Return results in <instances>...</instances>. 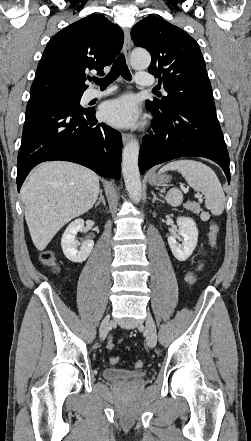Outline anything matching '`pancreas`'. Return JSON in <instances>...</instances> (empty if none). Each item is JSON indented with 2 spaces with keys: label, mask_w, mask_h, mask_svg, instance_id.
I'll use <instances>...</instances> for the list:
<instances>
[{
  "label": "pancreas",
  "mask_w": 251,
  "mask_h": 441,
  "mask_svg": "<svg viewBox=\"0 0 251 441\" xmlns=\"http://www.w3.org/2000/svg\"><path fill=\"white\" fill-rule=\"evenodd\" d=\"M184 208L192 211L195 214H199L202 211V209L200 208V205L198 203L188 202V203L184 204Z\"/></svg>",
  "instance_id": "obj_1"
}]
</instances>
